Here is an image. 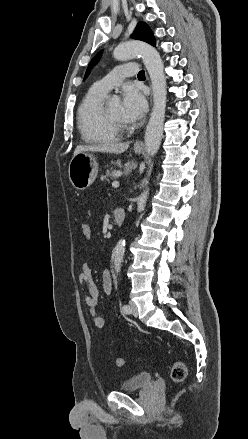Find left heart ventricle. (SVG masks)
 <instances>
[{
    "label": "left heart ventricle",
    "instance_id": "left-heart-ventricle-1",
    "mask_svg": "<svg viewBox=\"0 0 248 439\" xmlns=\"http://www.w3.org/2000/svg\"><path fill=\"white\" fill-rule=\"evenodd\" d=\"M106 110L113 119L123 123L129 122L123 115L122 106L120 102H114L109 104L106 107Z\"/></svg>",
    "mask_w": 248,
    "mask_h": 439
}]
</instances>
